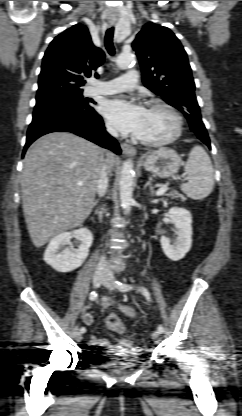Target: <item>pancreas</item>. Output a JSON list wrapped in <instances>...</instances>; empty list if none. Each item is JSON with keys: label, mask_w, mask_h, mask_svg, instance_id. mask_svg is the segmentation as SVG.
Segmentation results:
<instances>
[{"label": "pancreas", "mask_w": 242, "mask_h": 416, "mask_svg": "<svg viewBox=\"0 0 242 416\" xmlns=\"http://www.w3.org/2000/svg\"><path fill=\"white\" fill-rule=\"evenodd\" d=\"M169 196L171 197V199H181L182 201H185L186 200V198L183 195L179 194L176 191H172L169 194Z\"/></svg>", "instance_id": "1"}]
</instances>
